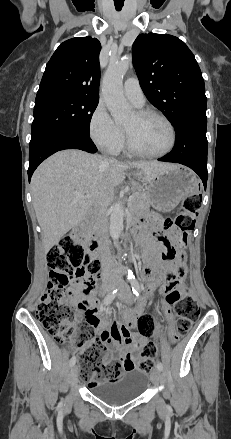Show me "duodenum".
I'll return each instance as SVG.
<instances>
[{
    "instance_id": "duodenum-1",
    "label": "duodenum",
    "mask_w": 231,
    "mask_h": 439,
    "mask_svg": "<svg viewBox=\"0 0 231 439\" xmlns=\"http://www.w3.org/2000/svg\"><path fill=\"white\" fill-rule=\"evenodd\" d=\"M78 231H79V230H78ZM139 240H140L143 244H145V240H144V238L139 237ZM88 248H89V250H90L92 253H94L96 256L99 255L100 248H99V236H98V235H95V236L93 237V239L89 242V244H88ZM144 271H145V272H148V271H149V265H148L147 262H145Z\"/></svg>"
}]
</instances>
